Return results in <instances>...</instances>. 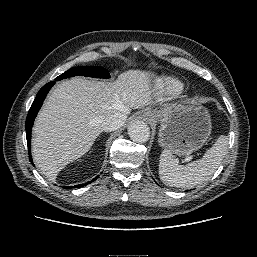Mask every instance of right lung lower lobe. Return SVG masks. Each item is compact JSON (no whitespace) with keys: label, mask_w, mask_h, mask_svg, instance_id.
<instances>
[{"label":"right lung lower lobe","mask_w":257,"mask_h":257,"mask_svg":"<svg viewBox=\"0 0 257 257\" xmlns=\"http://www.w3.org/2000/svg\"><path fill=\"white\" fill-rule=\"evenodd\" d=\"M54 83H55L54 81L49 82L40 89V91L36 95L34 102L31 105V108H30L27 118H26L25 129H26V136H27V145H28V150H29V159L32 164H33V161H32L31 153H30L32 126L34 123V119H35L40 107L42 106L43 101H44L48 91L51 89V87L54 85ZM94 180H96V178H94L92 181L85 183V184L76 185V186H72V187H64V188H75V187L79 188L81 186H85V185L93 182Z\"/></svg>","instance_id":"98d812e1"}]
</instances>
